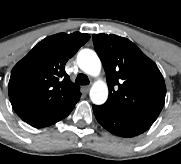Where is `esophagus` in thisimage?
I'll use <instances>...</instances> for the list:
<instances>
[{
    "label": "esophagus",
    "instance_id": "1",
    "mask_svg": "<svg viewBox=\"0 0 181 164\" xmlns=\"http://www.w3.org/2000/svg\"><path fill=\"white\" fill-rule=\"evenodd\" d=\"M84 91L87 93L90 89V85H86L83 87Z\"/></svg>",
    "mask_w": 181,
    "mask_h": 164
}]
</instances>
